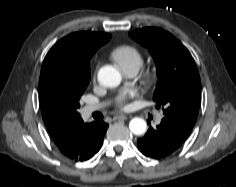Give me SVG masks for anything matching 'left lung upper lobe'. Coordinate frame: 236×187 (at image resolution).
Returning <instances> with one entry per match:
<instances>
[{
	"label": "left lung upper lobe",
	"mask_w": 236,
	"mask_h": 187,
	"mask_svg": "<svg viewBox=\"0 0 236 187\" xmlns=\"http://www.w3.org/2000/svg\"><path fill=\"white\" fill-rule=\"evenodd\" d=\"M129 36L148 48L157 69L153 100L166 106L165 118L188 130L194 127L200 104L201 81L196 63L185 46L169 32L155 27Z\"/></svg>",
	"instance_id": "obj_1"
}]
</instances>
